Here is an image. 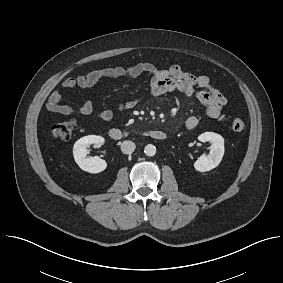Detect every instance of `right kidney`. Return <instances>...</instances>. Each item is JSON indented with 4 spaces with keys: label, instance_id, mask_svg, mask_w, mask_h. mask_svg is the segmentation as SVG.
<instances>
[{
    "label": "right kidney",
    "instance_id": "1",
    "mask_svg": "<svg viewBox=\"0 0 283 283\" xmlns=\"http://www.w3.org/2000/svg\"><path fill=\"white\" fill-rule=\"evenodd\" d=\"M104 138L96 135H88L76 141L73 147V156L78 166L89 173H100L107 167L105 160L98 156L87 157V147L91 144H103Z\"/></svg>",
    "mask_w": 283,
    "mask_h": 283
}]
</instances>
